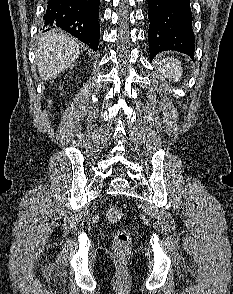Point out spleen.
Listing matches in <instances>:
<instances>
[{"mask_svg": "<svg viewBox=\"0 0 233 294\" xmlns=\"http://www.w3.org/2000/svg\"><path fill=\"white\" fill-rule=\"evenodd\" d=\"M157 65L160 73L169 80L178 82L182 77L181 63L173 58L160 59L157 61Z\"/></svg>", "mask_w": 233, "mask_h": 294, "instance_id": "3e777b00", "label": "spleen"}]
</instances>
